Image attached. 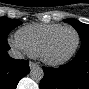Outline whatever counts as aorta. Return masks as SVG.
I'll return each mask as SVG.
<instances>
[{
	"label": "aorta",
	"mask_w": 89,
	"mask_h": 89,
	"mask_svg": "<svg viewBox=\"0 0 89 89\" xmlns=\"http://www.w3.org/2000/svg\"><path fill=\"white\" fill-rule=\"evenodd\" d=\"M29 75L32 80L41 81L44 76V72L41 67L36 65L31 68Z\"/></svg>",
	"instance_id": "obj_1"
}]
</instances>
